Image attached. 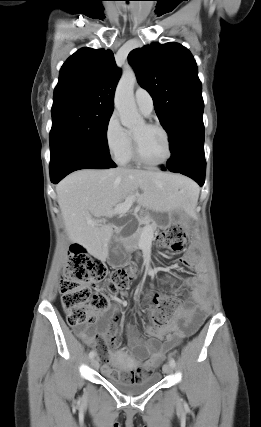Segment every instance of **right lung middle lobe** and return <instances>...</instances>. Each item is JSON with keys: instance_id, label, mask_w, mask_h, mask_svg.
Wrapping results in <instances>:
<instances>
[{"instance_id": "obj_1", "label": "right lung middle lobe", "mask_w": 261, "mask_h": 427, "mask_svg": "<svg viewBox=\"0 0 261 427\" xmlns=\"http://www.w3.org/2000/svg\"><path fill=\"white\" fill-rule=\"evenodd\" d=\"M112 112L90 106L52 109L51 157L68 151L110 157L107 128Z\"/></svg>"}]
</instances>
